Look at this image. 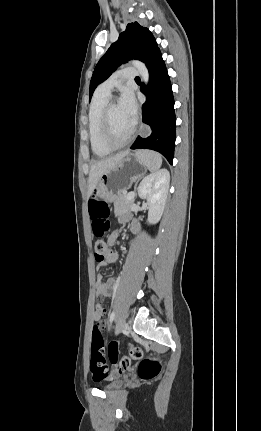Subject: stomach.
Listing matches in <instances>:
<instances>
[{"label":"stomach","mask_w":261,"mask_h":431,"mask_svg":"<svg viewBox=\"0 0 261 431\" xmlns=\"http://www.w3.org/2000/svg\"><path fill=\"white\" fill-rule=\"evenodd\" d=\"M147 169L137 152H129L115 169L101 176L96 187V197L105 202H112L118 194L140 179Z\"/></svg>","instance_id":"0dacf381"}]
</instances>
